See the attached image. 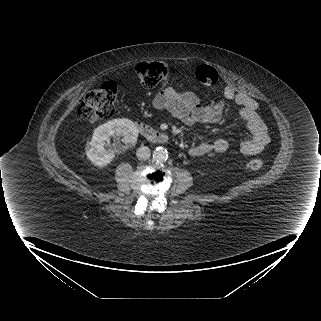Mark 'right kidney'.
<instances>
[{
  "instance_id": "ca27d5eb",
  "label": "right kidney",
  "mask_w": 321,
  "mask_h": 321,
  "mask_svg": "<svg viewBox=\"0 0 321 321\" xmlns=\"http://www.w3.org/2000/svg\"><path fill=\"white\" fill-rule=\"evenodd\" d=\"M123 136V143L134 144L137 141L138 129L129 119H113L98 126L91 141L86 146V155L91 163L98 167L109 164L115 157L114 151L107 149L110 136Z\"/></svg>"
}]
</instances>
